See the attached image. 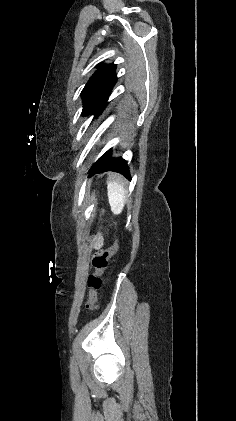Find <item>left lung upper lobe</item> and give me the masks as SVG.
<instances>
[{
  "label": "left lung upper lobe",
  "mask_w": 236,
  "mask_h": 421,
  "mask_svg": "<svg viewBox=\"0 0 236 421\" xmlns=\"http://www.w3.org/2000/svg\"><path fill=\"white\" fill-rule=\"evenodd\" d=\"M115 64H99L81 92L83 99L82 115L93 113L97 118L107 105V99L117 82Z\"/></svg>",
  "instance_id": "5c2ea615"
}]
</instances>
